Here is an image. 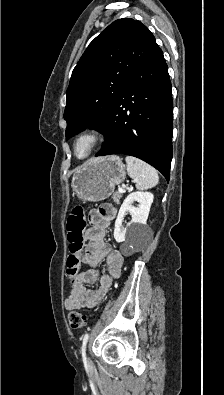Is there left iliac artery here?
<instances>
[{"mask_svg":"<svg viewBox=\"0 0 224 395\" xmlns=\"http://www.w3.org/2000/svg\"><path fill=\"white\" fill-rule=\"evenodd\" d=\"M88 338H89V334L86 333L83 337L82 348H81L82 355L84 358H85L86 344H87Z\"/></svg>","mask_w":224,"mask_h":395,"instance_id":"left-iliac-artery-1","label":"left iliac artery"}]
</instances>
